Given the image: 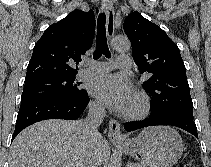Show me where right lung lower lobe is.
Masks as SVG:
<instances>
[{
	"mask_svg": "<svg viewBox=\"0 0 211 167\" xmlns=\"http://www.w3.org/2000/svg\"><path fill=\"white\" fill-rule=\"evenodd\" d=\"M89 97L84 90L70 98H41L21 101L12 140L27 126L46 119L75 120L84 112Z\"/></svg>",
	"mask_w": 211,
	"mask_h": 167,
	"instance_id": "1",
	"label": "right lung lower lobe"
}]
</instances>
